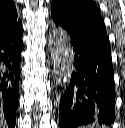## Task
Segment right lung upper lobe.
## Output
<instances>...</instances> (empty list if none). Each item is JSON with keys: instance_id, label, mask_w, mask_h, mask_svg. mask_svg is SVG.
<instances>
[{"instance_id": "obj_1", "label": "right lung upper lobe", "mask_w": 125, "mask_h": 128, "mask_svg": "<svg viewBox=\"0 0 125 128\" xmlns=\"http://www.w3.org/2000/svg\"><path fill=\"white\" fill-rule=\"evenodd\" d=\"M13 0H0V34L20 25Z\"/></svg>"}]
</instances>
